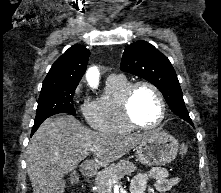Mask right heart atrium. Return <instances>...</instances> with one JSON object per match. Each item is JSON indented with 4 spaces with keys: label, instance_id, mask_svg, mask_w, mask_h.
<instances>
[{
    "label": "right heart atrium",
    "instance_id": "d8ad5b80",
    "mask_svg": "<svg viewBox=\"0 0 221 193\" xmlns=\"http://www.w3.org/2000/svg\"><path fill=\"white\" fill-rule=\"evenodd\" d=\"M79 91H80V89L77 88V89L75 90V92H74V96H77V95L79 94Z\"/></svg>",
    "mask_w": 221,
    "mask_h": 193
}]
</instances>
